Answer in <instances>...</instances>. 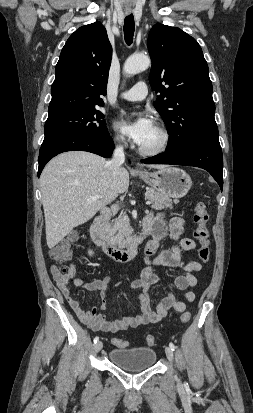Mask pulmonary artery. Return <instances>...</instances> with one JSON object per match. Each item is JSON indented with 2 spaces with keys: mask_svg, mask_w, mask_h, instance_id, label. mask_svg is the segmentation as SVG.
I'll return each mask as SVG.
<instances>
[{
  "mask_svg": "<svg viewBox=\"0 0 253 413\" xmlns=\"http://www.w3.org/2000/svg\"><path fill=\"white\" fill-rule=\"evenodd\" d=\"M148 94V87L145 82L136 83L131 89L121 94V97L127 101H141Z\"/></svg>",
  "mask_w": 253,
  "mask_h": 413,
  "instance_id": "pulmonary-artery-1",
  "label": "pulmonary artery"
}]
</instances>
